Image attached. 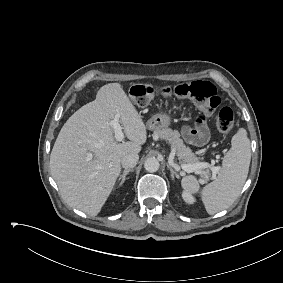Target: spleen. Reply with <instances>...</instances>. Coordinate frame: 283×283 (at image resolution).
Masks as SVG:
<instances>
[{"mask_svg":"<svg viewBox=\"0 0 283 283\" xmlns=\"http://www.w3.org/2000/svg\"><path fill=\"white\" fill-rule=\"evenodd\" d=\"M231 144V149L223 158L217 179L206 185L201 192L202 201L210 215L233 204L248 175L251 149L245 129H240L232 137ZM181 186L189 193H196L199 190V183L192 175L185 176Z\"/></svg>","mask_w":283,"mask_h":283,"instance_id":"3e777b00","label":"spleen"}]
</instances>
